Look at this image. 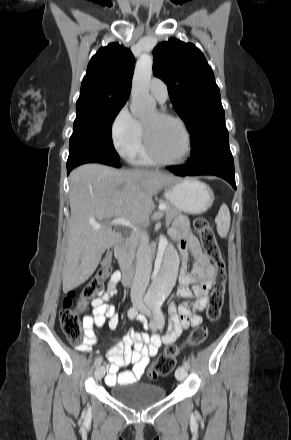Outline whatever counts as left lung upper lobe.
<instances>
[{"label": "left lung upper lobe", "instance_id": "obj_1", "mask_svg": "<svg viewBox=\"0 0 291 440\" xmlns=\"http://www.w3.org/2000/svg\"><path fill=\"white\" fill-rule=\"evenodd\" d=\"M153 73L168 86L178 115L191 134L192 156L228 137L220 91L202 52L171 38L154 49Z\"/></svg>", "mask_w": 291, "mask_h": 440}]
</instances>
